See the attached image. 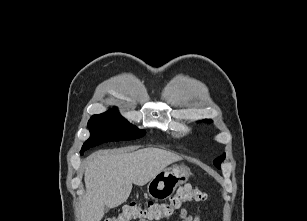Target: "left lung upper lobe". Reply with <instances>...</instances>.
<instances>
[{"label":"left lung upper lobe","mask_w":307,"mask_h":221,"mask_svg":"<svg viewBox=\"0 0 307 221\" xmlns=\"http://www.w3.org/2000/svg\"><path fill=\"white\" fill-rule=\"evenodd\" d=\"M205 122H212L210 119H205ZM201 122V121H199ZM225 159V154H223L221 157H218L215 161H214V165L220 169V163Z\"/></svg>","instance_id":"obj_1"}]
</instances>
